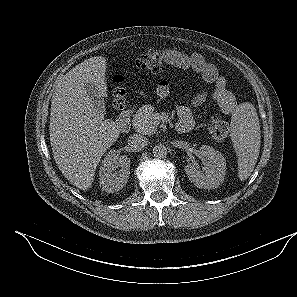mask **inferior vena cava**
Here are the masks:
<instances>
[{
  "label": "inferior vena cava",
  "mask_w": 297,
  "mask_h": 297,
  "mask_svg": "<svg viewBox=\"0 0 297 297\" xmlns=\"http://www.w3.org/2000/svg\"><path fill=\"white\" fill-rule=\"evenodd\" d=\"M128 142L134 148H144L148 143V139L140 134H134L129 137Z\"/></svg>",
  "instance_id": "inferior-vena-cava-1"
}]
</instances>
